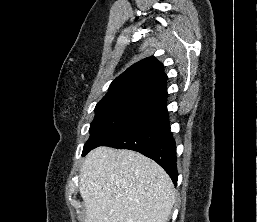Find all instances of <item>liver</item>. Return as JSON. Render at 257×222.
Masks as SVG:
<instances>
[{
	"label": "liver",
	"instance_id": "obj_1",
	"mask_svg": "<svg viewBox=\"0 0 257 222\" xmlns=\"http://www.w3.org/2000/svg\"><path fill=\"white\" fill-rule=\"evenodd\" d=\"M84 222H167L174 185L155 161L130 150L97 147L81 166Z\"/></svg>",
	"mask_w": 257,
	"mask_h": 222
}]
</instances>
